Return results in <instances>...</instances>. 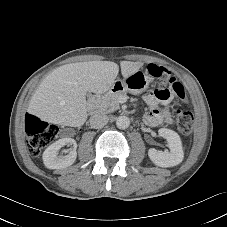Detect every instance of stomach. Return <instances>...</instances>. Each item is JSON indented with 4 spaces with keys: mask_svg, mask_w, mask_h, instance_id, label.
<instances>
[{
    "mask_svg": "<svg viewBox=\"0 0 227 227\" xmlns=\"http://www.w3.org/2000/svg\"><path fill=\"white\" fill-rule=\"evenodd\" d=\"M152 82V78L141 70L134 72L123 80H117L111 87L114 91H127L137 95L146 91Z\"/></svg>",
    "mask_w": 227,
    "mask_h": 227,
    "instance_id": "obj_1",
    "label": "stomach"
}]
</instances>
